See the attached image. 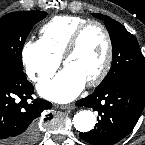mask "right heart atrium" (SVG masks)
<instances>
[{
    "instance_id": "d8ad5b80",
    "label": "right heart atrium",
    "mask_w": 145,
    "mask_h": 145,
    "mask_svg": "<svg viewBox=\"0 0 145 145\" xmlns=\"http://www.w3.org/2000/svg\"><path fill=\"white\" fill-rule=\"evenodd\" d=\"M22 62L28 78L42 82L54 75L60 60L51 56L40 41H27L22 48Z\"/></svg>"
}]
</instances>
